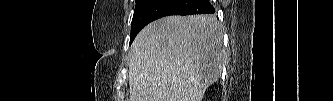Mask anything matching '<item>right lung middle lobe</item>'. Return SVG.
Here are the masks:
<instances>
[{"mask_svg": "<svg viewBox=\"0 0 333 101\" xmlns=\"http://www.w3.org/2000/svg\"><path fill=\"white\" fill-rule=\"evenodd\" d=\"M145 2V0H136V7H135V12L137 11V9L141 6V4ZM134 12V13H135ZM131 41V39H130ZM131 43V42H130Z\"/></svg>", "mask_w": 333, "mask_h": 101, "instance_id": "obj_1", "label": "right lung middle lobe"}]
</instances>
